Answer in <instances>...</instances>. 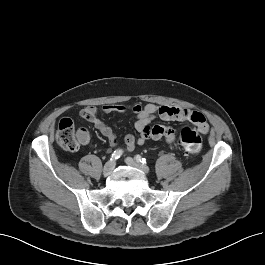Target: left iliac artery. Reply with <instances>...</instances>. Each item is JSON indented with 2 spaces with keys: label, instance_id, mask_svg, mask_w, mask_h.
I'll return each mask as SVG.
<instances>
[{
  "label": "left iliac artery",
  "instance_id": "obj_1",
  "mask_svg": "<svg viewBox=\"0 0 265 265\" xmlns=\"http://www.w3.org/2000/svg\"><path fill=\"white\" fill-rule=\"evenodd\" d=\"M135 159H136L137 162H140V163H142V164H146V159L143 158V157L140 156V155H136V156H135Z\"/></svg>",
  "mask_w": 265,
  "mask_h": 265
}]
</instances>
